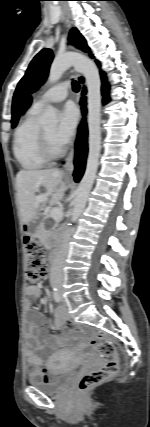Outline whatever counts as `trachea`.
<instances>
[{"mask_svg": "<svg viewBox=\"0 0 150 427\" xmlns=\"http://www.w3.org/2000/svg\"><path fill=\"white\" fill-rule=\"evenodd\" d=\"M72 88L75 92L79 91L80 86H79L78 82H76L75 80L72 81Z\"/></svg>", "mask_w": 150, "mask_h": 427, "instance_id": "3493384b", "label": "trachea"}]
</instances>
